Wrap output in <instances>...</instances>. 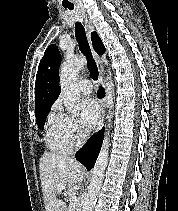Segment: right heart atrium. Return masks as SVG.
I'll use <instances>...</instances> for the list:
<instances>
[{
	"instance_id": "1",
	"label": "right heart atrium",
	"mask_w": 178,
	"mask_h": 211,
	"mask_svg": "<svg viewBox=\"0 0 178 211\" xmlns=\"http://www.w3.org/2000/svg\"><path fill=\"white\" fill-rule=\"evenodd\" d=\"M63 136L70 146L78 145L85 139L77 121L65 114H58Z\"/></svg>"
}]
</instances>
